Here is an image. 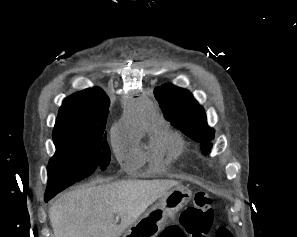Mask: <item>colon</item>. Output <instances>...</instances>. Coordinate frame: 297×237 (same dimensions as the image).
I'll return each mask as SVG.
<instances>
[{
  "mask_svg": "<svg viewBox=\"0 0 297 237\" xmlns=\"http://www.w3.org/2000/svg\"><path fill=\"white\" fill-rule=\"evenodd\" d=\"M214 224L212 199L205 191H196L193 204L182 211L179 222L166 228L159 237H208ZM216 237H233L231 231L220 226Z\"/></svg>",
  "mask_w": 297,
  "mask_h": 237,
  "instance_id": "obj_1",
  "label": "colon"
}]
</instances>
